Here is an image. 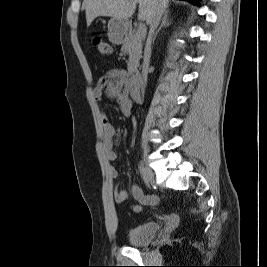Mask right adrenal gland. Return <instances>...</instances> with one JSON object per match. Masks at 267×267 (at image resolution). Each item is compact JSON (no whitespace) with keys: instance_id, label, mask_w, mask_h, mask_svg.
I'll list each match as a JSON object with an SVG mask.
<instances>
[{"instance_id":"obj_1","label":"right adrenal gland","mask_w":267,"mask_h":267,"mask_svg":"<svg viewBox=\"0 0 267 267\" xmlns=\"http://www.w3.org/2000/svg\"><path fill=\"white\" fill-rule=\"evenodd\" d=\"M170 24L169 22V10L165 11L164 15H163V18H162V22H161V25L160 27L158 28V30L156 31V33L154 34V37H153V43L156 39V36L157 34L159 33V31L161 30L162 27L164 26H168Z\"/></svg>"}]
</instances>
